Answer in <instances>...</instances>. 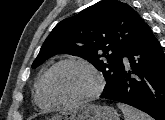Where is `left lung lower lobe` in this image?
Listing matches in <instances>:
<instances>
[{
  "label": "left lung lower lobe",
  "mask_w": 165,
  "mask_h": 120,
  "mask_svg": "<svg viewBox=\"0 0 165 120\" xmlns=\"http://www.w3.org/2000/svg\"><path fill=\"white\" fill-rule=\"evenodd\" d=\"M119 85L101 98L131 105L165 120V54L146 25L124 53Z\"/></svg>",
  "instance_id": "left-lung-lower-lobe-1"
}]
</instances>
